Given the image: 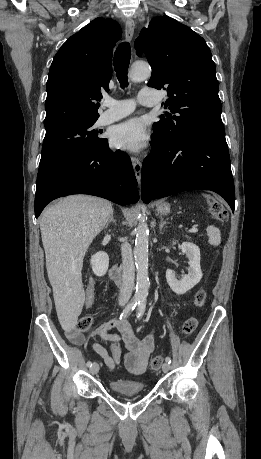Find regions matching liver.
<instances>
[{
    "label": "liver",
    "instance_id": "liver-1",
    "mask_svg": "<svg viewBox=\"0 0 261 459\" xmlns=\"http://www.w3.org/2000/svg\"><path fill=\"white\" fill-rule=\"evenodd\" d=\"M112 213V204L105 199L71 195L41 215L46 269L58 319L66 331L75 328L85 299L81 278L84 256Z\"/></svg>",
    "mask_w": 261,
    "mask_h": 459
}]
</instances>
